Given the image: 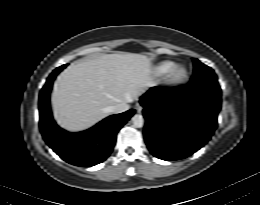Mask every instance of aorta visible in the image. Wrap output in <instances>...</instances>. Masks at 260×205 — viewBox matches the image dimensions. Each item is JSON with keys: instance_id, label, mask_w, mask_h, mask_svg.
I'll list each match as a JSON object with an SVG mask.
<instances>
[{"instance_id": "aorta-1", "label": "aorta", "mask_w": 260, "mask_h": 205, "mask_svg": "<svg viewBox=\"0 0 260 205\" xmlns=\"http://www.w3.org/2000/svg\"><path fill=\"white\" fill-rule=\"evenodd\" d=\"M132 122H133L134 127H136V128H141V127H143V124H144L143 116L140 115V114H135V115L132 117Z\"/></svg>"}]
</instances>
